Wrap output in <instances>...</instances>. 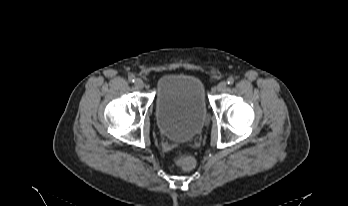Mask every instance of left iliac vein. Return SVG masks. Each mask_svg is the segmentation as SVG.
Here are the masks:
<instances>
[{"instance_id": "left-iliac-vein-1", "label": "left iliac vein", "mask_w": 348, "mask_h": 206, "mask_svg": "<svg viewBox=\"0 0 348 206\" xmlns=\"http://www.w3.org/2000/svg\"><path fill=\"white\" fill-rule=\"evenodd\" d=\"M226 87H227V83H226L225 81H221V82H219V84L217 85V90H218L219 92H223V91H225Z\"/></svg>"}]
</instances>
